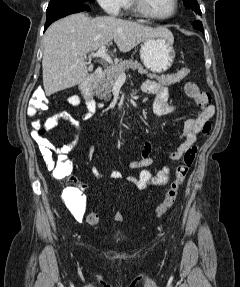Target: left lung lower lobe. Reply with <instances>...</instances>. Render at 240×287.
Listing matches in <instances>:
<instances>
[{
  "mask_svg": "<svg viewBox=\"0 0 240 287\" xmlns=\"http://www.w3.org/2000/svg\"><path fill=\"white\" fill-rule=\"evenodd\" d=\"M198 14H201V11L200 12H197ZM192 25H193V27L194 28H196V29H198V30H200V31H204L203 30V26H202V23L200 22V21H194L193 23H192Z\"/></svg>",
  "mask_w": 240,
  "mask_h": 287,
  "instance_id": "obj_1",
  "label": "left lung lower lobe"
}]
</instances>
